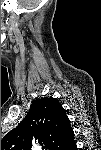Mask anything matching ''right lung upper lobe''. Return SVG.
<instances>
[{
    "label": "right lung upper lobe",
    "instance_id": "cb5924a9",
    "mask_svg": "<svg viewBox=\"0 0 101 150\" xmlns=\"http://www.w3.org/2000/svg\"><path fill=\"white\" fill-rule=\"evenodd\" d=\"M74 134L64 108L55 98L35 100L25 117L1 140V150H27L39 142L53 150H67Z\"/></svg>",
    "mask_w": 101,
    "mask_h": 150
}]
</instances>
